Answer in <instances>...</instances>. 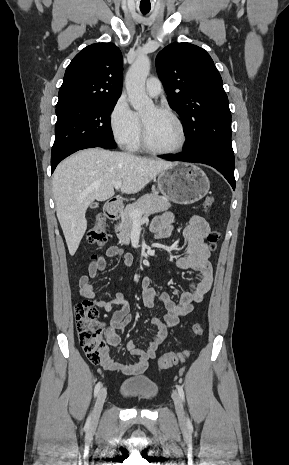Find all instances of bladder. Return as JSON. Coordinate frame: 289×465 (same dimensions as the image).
Wrapping results in <instances>:
<instances>
[{"label": "bladder", "instance_id": "bladder-1", "mask_svg": "<svg viewBox=\"0 0 289 465\" xmlns=\"http://www.w3.org/2000/svg\"><path fill=\"white\" fill-rule=\"evenodd\" d=\"M158 392L155 383L142 377L123 381L119 389L121 397L128 400H153L157 397Z\"/></svg>", "mask_w": 289, "mask_h": 465}]
</instances>
